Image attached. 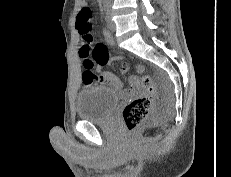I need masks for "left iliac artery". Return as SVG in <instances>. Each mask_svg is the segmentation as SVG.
<instances>
[{"label": "left iliac artery", "instance_id": "44dca946", "mask_svg": "<svg viewBox=\"0 0 231 177\" xmlns=\"http://www.w3.org/2000/svg\"><path fill=\"white\" fill-rule=\"evenodd\" d=\"M103 10L108 12L110 10V4L108 2H103Z\"/></svg>", "mask_w": 231, "mask_h": 177}]
</instances>
